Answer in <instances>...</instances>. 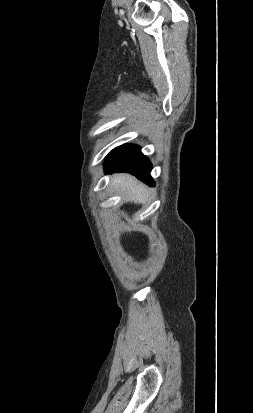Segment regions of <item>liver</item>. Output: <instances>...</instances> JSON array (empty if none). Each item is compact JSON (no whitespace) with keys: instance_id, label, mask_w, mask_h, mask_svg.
<instances>
[{"instance_id":"liver-1","label":"liver","mask_w":253,"mask_h":413,"mask_svg":"<svg viewBox=\"0 0 253 413\" xmlns=\"http://www.w3.org/2000/svg\"><path fill=\"white\" fill-rule=\"evenodd\" d=\"M111 185L124 194L125 200L134 203H145L148 200V188L128 174H114Z\"/></svg>"}]
</instances>
